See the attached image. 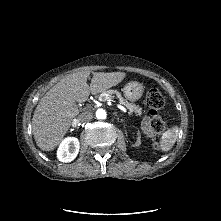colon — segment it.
<instances>
[{"mask_svg": "<svg viewBox=\"0 0 221 221\" xmlns=\"http://www.w3.org/2000/svg\"><path fill=\"white\" fill-rule=\"evenodd\" d=\"M145 102L151 116L149 122L150 131L156 135H160L165 130V122L161 117L165 103L164 97L158 89H150L147 92Z\"/></svg>", "mask_w": 221, "mask_h": 221, "instance_id": "1", "label": "colon"}]
</instances>
